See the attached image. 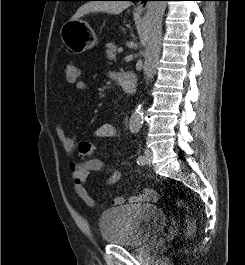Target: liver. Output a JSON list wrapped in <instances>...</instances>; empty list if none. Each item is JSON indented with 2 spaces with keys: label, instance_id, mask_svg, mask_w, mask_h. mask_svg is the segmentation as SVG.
Segmentation results:
<instances>
[{
  "label": "liver",
  "instance_id": "obj_1",
  "mask_svg": "<svg viewBox=\"0 0 245 265\" xmlns=\"http://www.w3.org/2000/svg\"><path fill=\"white\" fill-rule=\"evenodd\" d=\"M127 1H92L81 6L72 16L71 20H77L88 13L103 12L109 14H119L130 6Z\"/></svg>",
  "mask_w": 245,
  "mask_h": 265
}]
</instances>
